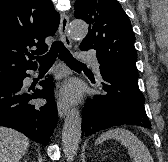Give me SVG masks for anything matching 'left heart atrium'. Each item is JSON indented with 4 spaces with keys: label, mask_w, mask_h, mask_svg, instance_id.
<instances>
[{
    "label": "left heart atrium",
    "mask_w": 168,
    "mask_h": 162,
    "mask_svg": "<svg viewBox=\"0 0 168 162\" xmlns=\"http://www.w3.org/2000/svg\"><path fill=\"white\" fill-rule=\"evenodd\" d=\"M78 95L77 87L73 84L68 85L62 92V96L65 98H74Z\"/></svg>",
    "instance_id": "39dd6f15"
}]
</instances>
